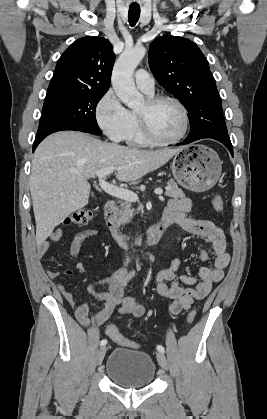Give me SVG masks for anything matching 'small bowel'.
<instances>
[{
    "label": "small bowel",
    "mask_w": 267,
    "mask_h": 419,
    "mask_svg": "<svg viewBox=\"0 0 267 419\" xmlns=\"http://www.w3.org/2000/svg\"><path fill=\"white\" fill-rule=\"evenodd\" d=\"M192 208L193 202L191 199H174L170 201L163 217L169 220L171 224L180 226L186 233L206 238L212 245L214 261L209 266L207 264L210 259L208 251L205 249L201 251L200 256L203 264L199 270L200 281L180 271L181 262L178 258L173 259L168 268L157 273L155 278L156 290L161 296L171 300L168 309L171 314L188 310L195 300L204 299L210 293L213 285L223 279L224 270L230 262L223 231L209 220L189 218L187 214ZM97 233V229L94 228L78 232L70 243V254L76 256L83 242ZM61 236L62 230L56 229L50 235L49 240L40 242L37 245L38 258L41 259L48 250L50 243L58 241ZM47 273L52 279L59 275L54 270H49ZM134 274L133 270L120 268L88 286L90 295L104 303L102 309L93 317L88 315L89 304L87 301L76 304L72 294L61 283H57V289L74 309L75 317L81 325L86 327L100 325L114 313L117 306H119L118 312L121 314L134 317H141L144 314L143 306L136 304L133 298L124 296V287L134 277ZM100 286H106L107 290L98 291L97 288Z\"/></svg>",
    "instance_id": "1"
}]
</instances>
